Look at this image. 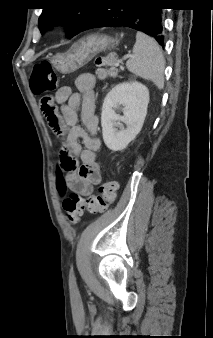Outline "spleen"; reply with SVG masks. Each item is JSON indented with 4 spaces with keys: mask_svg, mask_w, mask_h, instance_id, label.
<instances>
[{
    "mask_svg": "<svg viewBox=\"0 0 213 338\" xmlns=\"http://www.w3.org/2000/svg\"><path fill=\"white\" fill-rule=\"evenodd\" d=\"M126 66L134 75L152 81L158 89H163L165 59L160 46L153 38L137 32L133 56Z\"/></svg>",
    "mask_w": 213,
    "mask_h": 338,
    "instance_id": "1",
    "label": "spleen"
}]
</instances>
